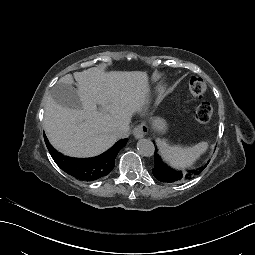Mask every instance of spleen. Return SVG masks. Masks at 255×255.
<instances>
[{
    "label": "spleen",
    "mask_w": 255,
    "mask_h": 255,
    "mask_svg": "<svg viewBox=\"0 0 255 255\" xmlns=\"http://www.w3.org/2000/svg\"><path fill=\"white\" fill-rule=\"evenodd\" d=\"M156 142L162 159L176 169L191 166L208 149V143L205 141L184 148L177 145L170 146L161 139H157Z\"/></svg>",
    "instance_id": "spleen-1"
}]
</instances>
